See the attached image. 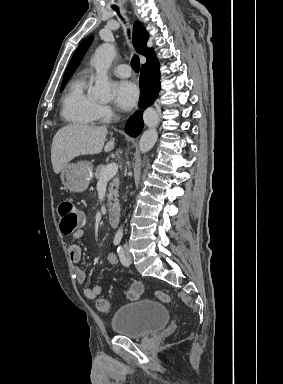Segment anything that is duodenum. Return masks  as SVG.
<instances>
[{"instance_id":"obj_1","label":"duodenum","mask_w":283,"mask_h":384,"mask_svg":"<svg viewBox=\"0 0 283 384\" xmlns=\"http://www.w3.org/2000/svg\"><path fill=\"white\" fill-rule=\"evenodd\" d=\"M119 216H120L119 210L115 209V210L110 211L108 213V222L112 226H117L119 223Z\"/></svg>"}]
</instances>
